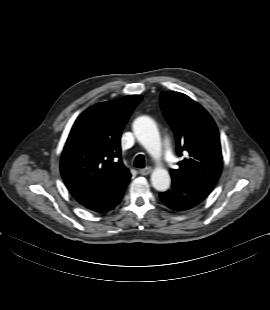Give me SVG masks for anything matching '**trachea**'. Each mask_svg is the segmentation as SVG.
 Instances as JSON below:
<instances>
[{"instance_id":"3493384b","label":"trachea","mask_w":270,"mask_h":310,"mask_svg":"<svg viewBox=\"0 0 270 310\" xmlns=\"http://www.w3.org/2000/svg\"><path fill=\"white\" fill-rule=\"evenodd\" d=\"M134 166L138 168H144L145 167V158L142 154H139L136 156L134 160Z\"/></svg>"}]
</instances>
